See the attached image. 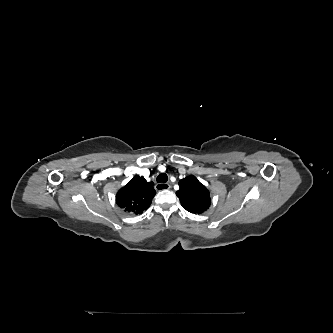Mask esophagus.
<instances>
[{
	"label": "esophagus",
	"instance_id": "1",
	"mask_svg": "<svg viewBox=\"0 0 333 333\" xmlns=\"http://www.w3.org/2000/svg\"><path fill=\"white\" fill-rule=\"evenodd\" d=\"M155 188L158 190V191H161V190H167V189H170L171 186L170 184L168 183H157L155 185Z\"/></svg>",
	"mask_w": 333,
	"mask_h": 333
}]
</instances>
